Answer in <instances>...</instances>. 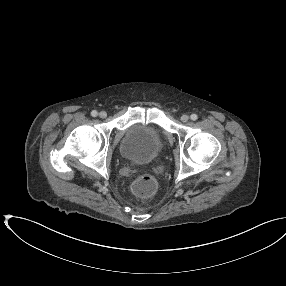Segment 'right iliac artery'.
I'll return each instance as SVG.
<instances>
[{
  "mask_svg": "<svg viewBox=\"0 0 286 286\" xmlns=\"http://www.w3.org/2000/svg\"><path fill=\"white\" fill-rule=\"evenodd\" d=\"M91 115H92L93 117H96V116H97V111H96V110H93V111L91 112Z\"/></svg>",
  "mask_w": 286,
  "mask_h": 286,
  "instance_id": "1",
  "label": "right iliac artery"
}]
</instances>
